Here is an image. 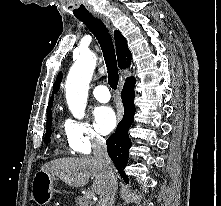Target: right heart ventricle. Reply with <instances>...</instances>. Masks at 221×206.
I'll list each match as a JSON object with an SVG mask.
<instances>
[{
	"label": "right heart ventricle",
	"instance_id": "obj_1",
	"mask_svg": "<svg viewBox=\"0 0 221 206\" xmlns=\"http://www.w3.org/2000/svg\"><path fill=\"white\" fill-rule=\"evenodd\" d=\"M59 129H60V132L62 133V135L65 136L66 141H67L68 145L70 146V139H69L70 124H69V120L61 122L59 124Z\"/></svg>",
	"mask_w": 221,
	"mask_h": 206
}]
</instances>
